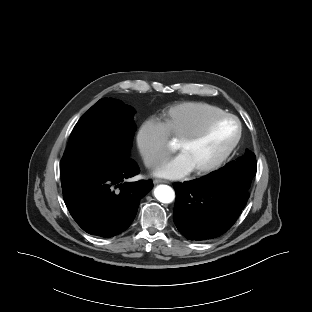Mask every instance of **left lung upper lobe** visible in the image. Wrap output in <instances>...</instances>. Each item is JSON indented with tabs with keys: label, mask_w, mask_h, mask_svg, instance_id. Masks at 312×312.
<instances>
[{
	"label": "left lung upper lobe",
	"mask_w": 312,
	"mask_h": 312,
	"mask_svg": "<svg viewBox=\"0 0 312 312\" xmlns=\"http://www.w3.org/2000/svg\"><path fill=\"white\" fill-rule=\"evenodd\" d=\"M256 157L251 151H246L243 157L237 161L228 163L214 174H223L232 178L235 182L249 191L253 177L256 175Z\"/></svg>",
	"instance_id": "5c2ea615"
}]
</instances>
